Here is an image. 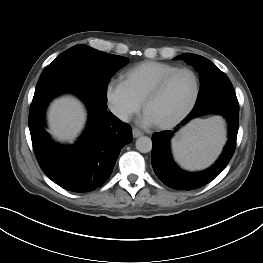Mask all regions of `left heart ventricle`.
<instances>
[{"instance_id":"obj_1","label":"left heart ventricle","mask_w":263,"mask_h":263,"mask_svg":"<svg viewBox=\"0 0 263 263\" xmlns=\"http://www.w3.org/2000/svg\"><path fill=\"white\" fill-rule=\"evenodd\" d=\"M194 90L193 76L188 72L180 73L170 80L163 92L147 106L145 112L155 124L170 121L187 107Z\"/></svg>"}]
</instances>
